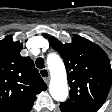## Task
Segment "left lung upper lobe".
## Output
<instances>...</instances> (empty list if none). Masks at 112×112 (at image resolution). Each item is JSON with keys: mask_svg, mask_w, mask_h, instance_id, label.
<instances>
[{"mask_svg": "<svg viewBox=\"0 0 112 112\" xmlns=\"http://www.w3.org/2000/svg\"><path fill=\"white\" fill-rule=\"evenodd\" d=\"M49 43L64 60L70 86V98L60 103L62 112H96L104 103L112 82V70L106 53L96 44L74 35L70 44L55 37Z\"/></svg>", "mask_w": 112, "mask_h": 112, "instance_id": "obj_1", "label": "left lung upper lobe"}]
</instances>
